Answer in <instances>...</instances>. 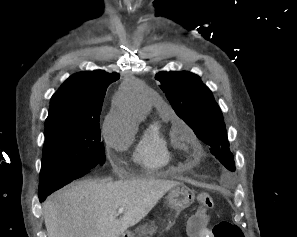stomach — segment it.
<instances>
[{"label": "stomach", "mask_w": 297, "mask_h": 237, "mask_svg": "<svg viewBox=\"0 0 297 237\" xmlns=\"http://www.w3.org/2000/svg\"><path fill=\"white\" fill-rule=\"evenodd\" d=\"M194 193L185 186H176L167 195V202L169 206L176 211H181L189 207L194 201ZM156 227L154 224H145L138 228V231L142 235L152 234ZM121 237H134V234L127 231L121 235Z\"/></svg>", "instance_id": "0dacf381"}]
</instances>
